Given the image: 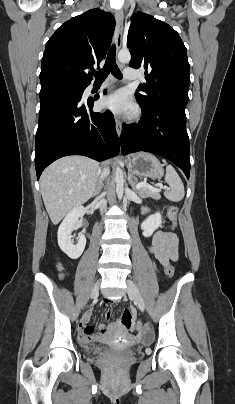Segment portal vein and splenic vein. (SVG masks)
I'll return each instance as SVG.
<instances>
[{"label": "portal vein and splenic vein", "instance_id": "obj_1", "mask_svg": "<svg viewBox=\"0 0 235 404\" xmlns=\"http://www.w3.org/2000/svg\"><path fill=\"white\" fill-rule=\"evenodd\" d=\"M142 187H145V188H148V189H150L151 191H155V192H159L161 189H165V190H169L170 188L169 187H166V186H160V188L158 189V188H155V187H153V186H151V185H149V184H147V183H143V182H141V183H139V184H137L136 185V189L137 190H139L140 188H142Z\"/></svg>", "mask_w": 235, "mask_h": 404}]
</instances>
